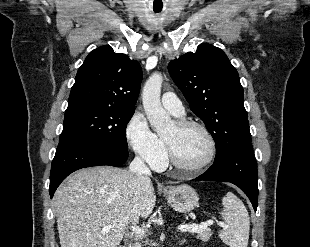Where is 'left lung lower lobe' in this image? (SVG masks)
<instances>
[{
	"mask_svg": "<svg viewBox=\"0 0 310 247\" xmlns=\"http://www.w3.org/2000/svg\"><path fill=\"white\" fill-rule=\"evenodd\" d=\"M195 180L223 181L238 186L250 199L254 210L258 202V175L252 144L237 148Z\"/></svg>",
	"mask_w": 310,
	"mask_h": 247,
	"instance_id": "left-lung-lower-lobe-1",
	"label": "left lung lower lobe"
}]
</instances>
